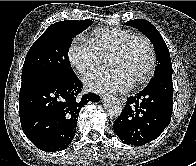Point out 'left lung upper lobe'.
I'll return each instance as SVG.
<instances>
[{
  "mask_svg": "<svg viewBox=\"0 0 196 166\" xmlns=\"http://www.w3.org/2000/svg\"><path fill=\"white\" fill-rule=\"evenodd\" d=\"M126 25L138 28L152 41L154 45L157 66L154 77L152 79L166 75H172L170 53L158 30L149 21L144 19L130 20L126 23Z\"/></svg>",
  "mask_w": 196,
  "mask_h": 166,
  "instance_id": "left-lung-upper-lobe-1",
  "label": "left lung upper lobe"
}]
</instances>
